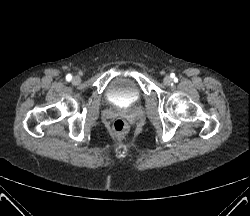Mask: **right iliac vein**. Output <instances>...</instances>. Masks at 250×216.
<instances>
[{
  "instance_id": "right-iliac-vein-1",
  "label": "right iliac vein",
  "mask_w": 250,
  "mask_h": 216,
  "mask_svg": "<svg viewBox=\"0 0 250 216\" xmlns=\"http://www.w3.org/2000/svg\"><path fill=\"white\" fill-rule=\"evenodd\" d=\"M72 82L74 84H79L81 82V78L79 76H74Z\"/></svg>"
}]
</instances>
